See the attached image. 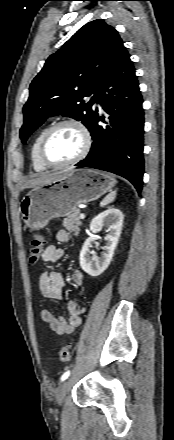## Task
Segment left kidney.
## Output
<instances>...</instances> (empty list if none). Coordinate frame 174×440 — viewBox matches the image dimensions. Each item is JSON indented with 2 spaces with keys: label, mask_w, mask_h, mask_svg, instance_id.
<instances>
[{
  "label": "left kidney",
  "mask_w": 174,
  "mask_h": 440,
  "mask_svg": "<svg viewBox=\"0 0 174 440\" xmlns=\"http://www.w3.org/2000/svg\"><path fill=\"white\" fill-rule=\"evenodd\" d=\"M123 219L122 212L116 208H109L92 219L90 223L92 233H97L103 226L108 228L109 233L104 238L106 246L101 257L89 255L93 241L91 236L84 242L80 252V266L90 276H99L108 268L121 235Z\"/></svg>",
  "instance_id": "obj_1"
}]
</instances>
